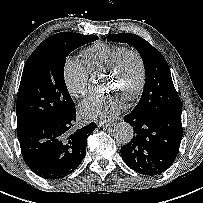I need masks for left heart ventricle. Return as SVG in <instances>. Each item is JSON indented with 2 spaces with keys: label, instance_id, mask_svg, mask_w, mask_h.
Returning <instances> with one entry per match:
<instances>
[{
  "label": "left heart ventricle",
  "instance_id": "obj_1",
  "mask_svg": "<svg viewBox=\"0 0 203 203\" xmlns=\"http://www.w3.org/2000/svg\"><path fill=\"white\" fill-rule=\"evenodd\" d=\"M139 77V66L135 58L129 57L109 80V89L126 97L135 88Z\"/></svg>",
  "mask_w": 203,
  "mask_h": 203
}]
</instances>
